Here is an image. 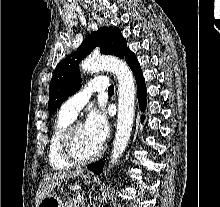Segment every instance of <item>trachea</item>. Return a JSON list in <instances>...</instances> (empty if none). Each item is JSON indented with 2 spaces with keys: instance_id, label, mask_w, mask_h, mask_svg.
Wrapping results in <instances>:
<instances>
[{
  "instance_id": "1",
  "label": "trachea",
  "mask_w": 220,
  "mask_h": 207,
  "mask_svg": "<svg viewBox=\"0 0 220 207\" xmlns=\"http://www.w3.org/2000/svg\"><path fill=\"white\" fill-rule=\"evenodd\" d=\"M108 92H114V86L113 85L109 86Z\"/></svg>"
}]
</instances>
